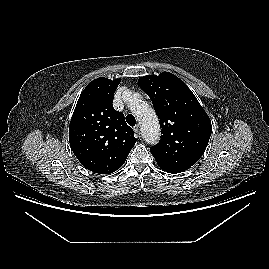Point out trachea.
<instances>
[{
  "label": "trachea",
  "instance_id": "obj_1",
  "mask_svg": "<svg viewBox=\"0 0 269 269\" xmlns=\"http://www.w3.org/2000/svg\"><path fill=\"white\" fill-rule=\"evenodd\" d=\"M126 122L133 127L136 124V119L133 115L129 114L126 116Z\"/></svg>",
  "mask_w": 269,
  "mask_h": 269
}]
</instances>
